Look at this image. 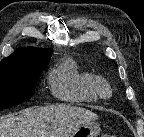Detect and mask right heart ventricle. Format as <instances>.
Listing matches in <instances>:
<instances>
[{"instance_id":"obj_1","label":"right heart ventricle","mask_w":144,"mask_h":137,"mask_svg":"<svg viewBox=\"0 0 144 137\" xmlns=\"http://www.w3.org/2000/svg\"><path fill=\"white\" fill-rule=\"evenodd\" d=\"M96 75L82 70L76 61L67 58L49 74L48 82L52 94L68 103L95 102L99 99L93 83Z\"/></svg>"}]
</instances>
